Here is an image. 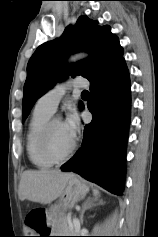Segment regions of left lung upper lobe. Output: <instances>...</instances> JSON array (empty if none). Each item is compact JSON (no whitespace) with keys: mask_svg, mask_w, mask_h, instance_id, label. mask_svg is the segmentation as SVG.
Here are the masks:
<instances>
[{"mask_svg":"<svg viewBox=\"0 0 158 237\" xmlns=\"http://www.w3.org/2000/svg\"><path fill=\"white\" fill-rule=\"evenodd\" d=\"M87 51L91 57L67 65L66 58L76 52ZM123 59V48L118 37L109 26H98V22L87 16L78 18L74 27L69 25L60 38L40 45L27 65L24 85V121L34 103L59 80L68 74L81 75L90 83L105 76Z\"/></svg>","mask_w":158,"mask_h":237,"instance_id":"1","label":"left lung upper lobe"}]
</instances>
